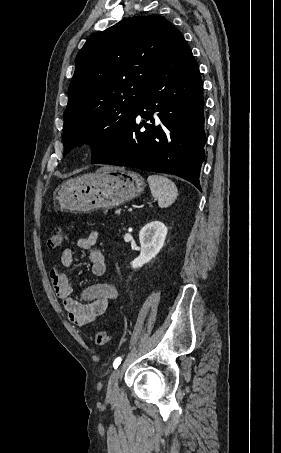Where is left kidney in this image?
<instances>
[{
	"label": "left kidney",
	"mask_w": 281,
	"mask_h": 453,
	"mask_svg": "<svg viewBox=\"0 0 281 453\" xmlns=\"http://www.w3.org/2000/svg\"><path fill=\"white\" fill-rule=\"evenodd\" d=\"M167 233L168 229L161 220H152V222L145 224V227L139 233L141 245L140 255L132 261V269L143 267V265L150 263L151 259H154L160 253Z\"/></svg>",
	"instance_id": "5707ae66"
}]
</instances>
